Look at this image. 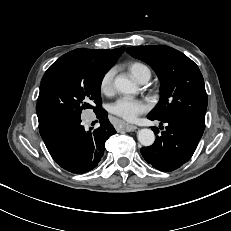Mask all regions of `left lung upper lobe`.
<instances>
[{"label": "left lung upper lobe", "mask_w": 231, "mask_h": 231, "mask_svg": "<svg viewBox=\"0 0 231 231\" xmlns=\"http://www.w3.org/2000/svg\"><path fill=\"white\" fill-rule=\"evenodd\" d=\"M149 64L161 82V98L150 116L164 119L185 117L205 124L207 94L198 66L183 53L163 45L126 49Z\"/></svg>", "instance_id": "obj_1"}]
</instances>
